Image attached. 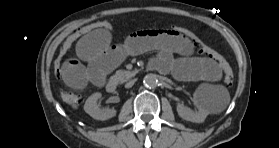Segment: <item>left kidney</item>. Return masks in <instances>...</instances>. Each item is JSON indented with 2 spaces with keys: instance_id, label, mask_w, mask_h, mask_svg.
Wrapping results in <instances>:
<instances>
[{
  "instance_id": "left-kidney-1",
  "label": "left kidney",
  "mask_w": 279,
  "mask_h": 148,
  "mask_svg": "<svg viewBox=\"0 0 279 148\" xmlns=\"http://www.w3.org/2000/svg\"><path fill=\"white\" fill-rule=\"evenodd\" d=\"M194 104L198 111L194 112L190 108L184 106L181 103L177 104V112L181 118L187 121L202 123L206 119L207 115L210 113V110L204 104L200 93L198 91L193 94Z\"/></svg>"
}]
</instances>
